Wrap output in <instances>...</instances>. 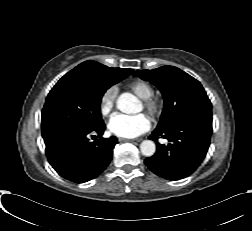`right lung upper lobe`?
<instances>
[{
	"instance_id": "1",
	"label": "right lung upper lobe",
	"mask_w": 252,
	"mask_h": 231,
	"mask_svg": "<svg viewBox=\"0 0 252 231\" xmlns=\"http://www.w3.org/2000/svg\"><path fill=\"white\" fill-rule=\"evenodd\" d=\"M119 72L127 74L128 76L133 72L132 69L116 68Z\"/></svg>"
}]
</instances>
